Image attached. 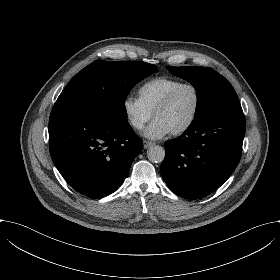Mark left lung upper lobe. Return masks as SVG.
<instances>
[{"mask_svg":"<svg viewBox=\"0 0 280 280\" xmlns=\"http://www.w3.org/2000/svg\"><path fill=\"white\" fill-rule=\"evenodd\" d=\"M167 69L194 86L197 93V106L193 121L219 110L240 105L232 85L211 68L167 66Z\"/></svg>","mask_w":280,"mask_h":280,"instance_id":"obj_1","label":"left lung upper lobe"}]
</instances>
